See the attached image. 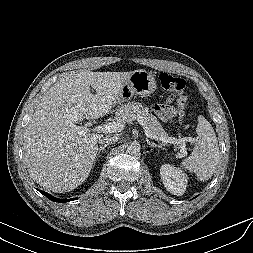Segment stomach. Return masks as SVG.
Returning a JSON list of instances; mask_svg holds the SVG:
<instances>
[{
  "instance_id": "stomach-1",
  "label": "stomach",
  "mask_w": 253,
  "mask_h": 253,
  "mask_svg": "<svg viewBox=\"0 0 253 253\" xmlns=\"http://www.w3.org/2000/svg\"><path fill=\"white\" fill-rule=\"evenodd\" d=\"M156 87V80L150 72L143 69L135 70L121 88L117 103L128 102L134 95L148 96L156 90Z\"/></svg>"
}]
</instances>
